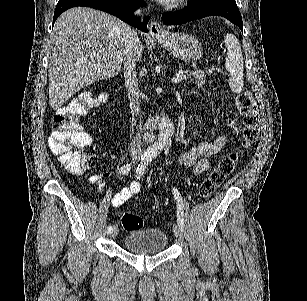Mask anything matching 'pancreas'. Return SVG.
<instances>
[{
    "label": "pancreas",
    "mask_w": 307,
    "mask_h": 301,
    "mask_svg": "<svg viewBox=\"0 0 307 301\" xmlns=\"http://www.w3.org/2000/svg\"><path fill=\"white\" fill-rule=\"evenodd\" d=\"M186 72L183 76V80H192V82H198V84H205L207 80V74L205 70H184Z\"/></svg>",
    "instance_id": "1"
}]
</instances>
